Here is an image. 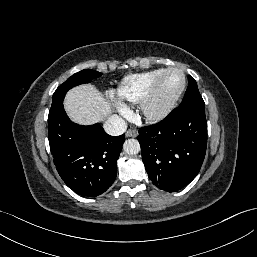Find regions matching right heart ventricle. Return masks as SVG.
I'll list each match as a JSON object with an SVG mask.
<instances>
[{
	"instance_id": "e07e8e85",
	"label": "right heart ventricle",
	"mask_w": 257,
	"mask_h": 257,
	"mask_svg": "<svg viewBox=\"0 0 257 257\" xmlns=\"http://www.w3.org/2000/svg\"><path fill=\"white\" fill-rule=\"evenodd\" d=\"M165 69L159 68L124 78L114 92L121 108L127 109L130 105L141 103Z\"/></svg>"
}]
</instances>
